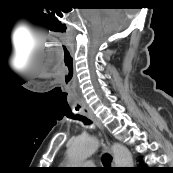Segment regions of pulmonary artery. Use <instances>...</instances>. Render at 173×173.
Returning <instances> with one entry per match:
<instances>
[{"label": "pulmonary artery", "instance_id": "e3ab8cb5", "mask_svg": "<svg viewBox=\"0 0 173 173\" xmlns=\"http://www.w3.org/2000/svg\"><path fill=\"white\" fill-rule=\"evenodd\" d=\"M84 164H85V167H88V168L94 165V163L92 162H85Z\"/></svg>", "mask_w": 173, "mask_h": 173}]
</instances>
